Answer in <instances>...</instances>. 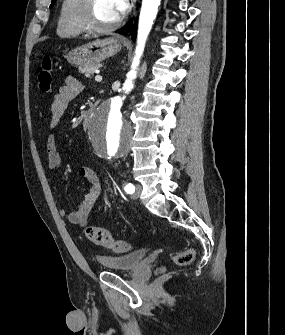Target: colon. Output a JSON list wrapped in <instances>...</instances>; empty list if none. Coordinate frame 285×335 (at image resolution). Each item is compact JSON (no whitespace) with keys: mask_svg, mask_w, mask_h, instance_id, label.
<instances>
[{"mask_svg":"<svg viewBox=\"0 0 285 335\" xmlns=\"http://www.w3.org/2000/svg\"><path fill=\"white\" fill-rule=\"evenodd\" d=\"M53 59L50 55H44L38 72V84L43 93H49L52 90L53 83ZM85 236L94 244L109 248L115 252L125 253L131 250L132 245L129 242L119 240L113 234L103 228L90 226L85 230ZM195 250L191 247L186 248L172 256V262L176 265H187L193 261Z\"/></svg>","mask_w":285,"mask_h":335,"instance_id":"colon-1","label":"colon"}]
</instances>
